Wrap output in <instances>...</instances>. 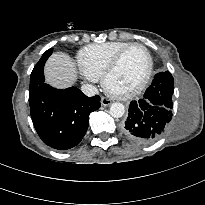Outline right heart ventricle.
<instances>
[{
	"mask_svg": "<svg viewBox=\"0 0 205 205\" xmlns=\"http://www.w3.org/2000/svg\"><path fill=\"white\" fill-rule=\"evenodd\" d=\"M130 44L116 41L87 45L78 54L79 65L85 75L99 79L116 54Z\"/></svg>",
	"mask_w": 205,
	"mask_h": 205,
	"instance_id": "obj_1",
	"label": "right heart ventricle"
}]
</instances>
